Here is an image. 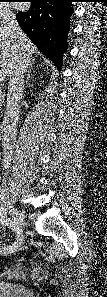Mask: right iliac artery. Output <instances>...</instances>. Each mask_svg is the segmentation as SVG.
I'll use <instances>...</instances> for the list:
<instances>
[{"label": "right iliac artery", "instance_id": "obj_1", "mask_svg": "<svg viewBox=\"0 0 107 297\" xmlns=\"http://www.w3.org/2000/svg\"><path fill=\"white\" fill-rule=\"evenodd\" d=\"M0 197H1V200L3 201L4 205L5 206L7 205V208H8V206L10 205V202L6 200L3 192L1 193ZM7 208H5V207L0 208V221L3 225L11 228L16 233L17 237H19L22 235V231L15 225L14 221H12V220H10V218H8ZM5 251H12V245L2 248L1 252H5Z\"/></svg>", "mask_w": 107, "mask_h": 297}]
</instances>
